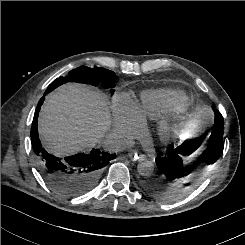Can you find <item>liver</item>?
<instances>
[{"mask_svg": "<svg viewBox=\"0 0 245 245\" xmlns=\"http://www.w3.org/2000/svg\"><path fill=\"white\" fill-rule=\"evenodd\" d=\"M109 126L106 98L80 84H66L48 95L39 116L43 145L62 156L94 146Z\"/></svg>", "mask_w": 245, "mask_h": 245, "instance_id": "6515ba94", "label": "liver"}]
</instances>
